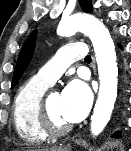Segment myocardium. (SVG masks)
<instances>
[{"mask_svg":"<svg viewBox=\"0 0 131 151\" xmlns=\"http://www.w3.org/2000/svg\"><path fill=\"white\" fill-rule=\"evenodd\" d=\"M53 92H45L41 98L39 105V119L42 129L48 136L57 137L67 134L71 129L72 125H57L50 114L48 107V99L50 94Z\"/></svg>","mask_w":131,"mask_h":151,"instance_id":"f54148a6","label":"myocardium"}]
</instances>
